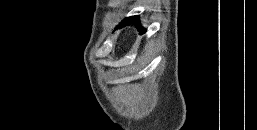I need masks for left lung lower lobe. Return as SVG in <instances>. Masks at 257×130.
Here are the masks:
<instances>
[{"instance_id":"1","label":"left lung lower lobe","mask_w":257,"mask_h":130,"mask_svg":"<svg viewBox=\"0 0 257 130\" xmlns=\"http://www.w3.org/2000/svg\"><path fill=\"white\" fill-rule=\"evenodd\" d=\"M129 22H133V23H136V24H140L139 17H138V16H132V17H129V18L124 19V20L120 23L119 27H122L124 24L129 23ZM140 30H141V33L145 32V30H144L143 28H140Z\"/></svg>"}]
</instances>
